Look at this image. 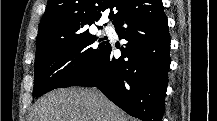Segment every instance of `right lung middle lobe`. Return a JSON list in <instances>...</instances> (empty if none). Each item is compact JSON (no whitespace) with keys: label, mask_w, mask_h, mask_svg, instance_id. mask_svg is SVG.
<instances>
[{"label":"right lung middle lobe","mask_w":217,"mask_h":121,"mask_svg":"<svg viewBox=\"0 0 217 121\" xmlns=\"http://www.w3.org/2000/svg\"><path fill=\"white\" fill-rule=\"evenodd\" d=\"M108 44L102 38L97 42L87 26L62 39L37 46L33 97L55 88L73 86L99 61Z\"/></svg>","instance_id":"1"}]
</instances>
